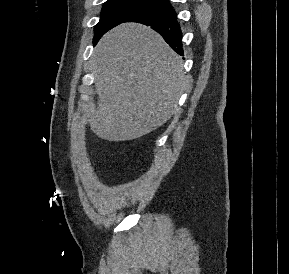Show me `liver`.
I'll return each instance as SVG.
<instances>
[{"label":"liver","mask_w":289,"mask_h":274,"mask_svg":"<svg viewBox=\"0 0 289 274\" xmlns=\"http://www.w3.org/2000/svg\"><path fill=\"white\" fill-rule=\"evenodd\" d=\"M98 107L90 129L108 141L142 137L179 111L186 79L183 62L151 28L123 23L93 52Z\"/></svg>","instance_id":"obj_1"}]
</instances>
